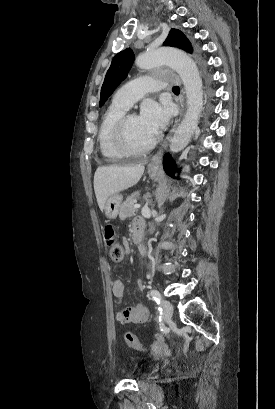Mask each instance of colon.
<instances>
[{"label": "colon", "instance_id": "colon-1", "mask_svg": "<svg viewBox=\"0 0 275 409\" xmlns=\"http://www.w3.org/2000/svg\"><path fill=\"white\" fill-rule=\"evenodd\" d=\"M104 237L108 248L110 249V258L113 265H119L124 259V248L120 242V233L118 229L111 225H106L104 228ZM125 341L129 348L133 350H142L141 342L135 337L132 332L125 333Z\"/></svg>", "mask_w": 275, "mask_h": 409}]
</instances>
